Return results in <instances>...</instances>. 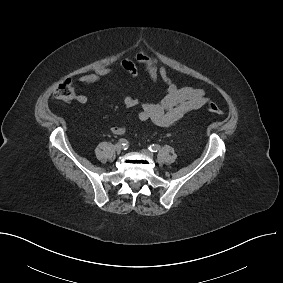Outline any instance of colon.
Listing matches in <instances>:
<instances>
[{
  "mask_svg": "<svg viewBox=\"0 0 283 283\" xmlns=\"http://www.w3.org/2000/svg\"><path fill=\"white\" fill-rule=\"evenodd\" d=\"M54 96L55 98L63 102L72 101L75 97V91L71 81L65 80L64 82L59 84L54 92ZM207 109L210 113L217 116H221L223 114L221 108L212 102L208 103Z\"/></svg>",
  "mask_w": 283,
  "mask_h": 283,
  "instance_id": "5ec220e1",
  "label": "colon"
}]
</instances>
